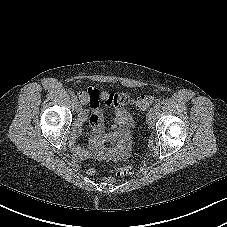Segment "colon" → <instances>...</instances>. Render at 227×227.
<instances>
[{
	"label": "colon",
	"instance_id": "1",
	"mask_svg": "<svg viewBox=\"0 0 227 227\" xmlns=\"http://www.w3.org/2000/svg\"><path fill=\"white\" fill-rule=\"evenodd\" d=\"M117 99L120 103L126 104L130 102V98L125 94H118ZM153 102H154V98L152 96L140 95L134 100V105L138 110L144 111L148 109L153 104ZM134 170H135V167L133 165H124V166L112 168L109 171L110 175L108 177V180L112 182L115 180V176L130 175L134 172ZM87 172L90 175H93L95 174V169L93 167H89Z\"/></svg>",
	"mask_w": 227,
	"mask_h": 227
}]
</instances>
